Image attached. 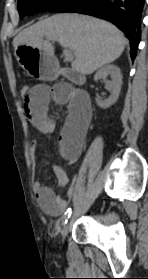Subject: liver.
I'll list each match as a JSON object with an SVG mask.
<instances>
[{
	"label": "liver",
	"instance_id": "liver-1",
	"mask_svg": "<svg viewBox=\"0 0 148 279\" xmlns=\"http://www.w3.org/2000/svg\"><path fill=\"white\" fill-rule=\"evenodd\" d=\"M50 41H57L75 55L72 70L92 74L98 68L115 61L122 54L126 39L111 23L94 17L62 13L41 20L22 30L13 46L38 48L54 57Z\"/></svg>",
	"mask_w": 148,
	"mask_h": 279
}]
</instances>
